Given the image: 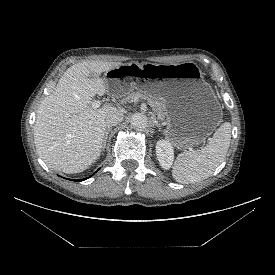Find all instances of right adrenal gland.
I'll return each instance as SVG.
<instances>
[{
    "instance_id": "1",
    "label": "right adrenal gland",
    "mask_w": 275,
    "mask_h": 275,
    "mask_svg": "<svg viewBox=\"0 0 275 275\" xmlns=\"http://www.w3.org/2000/svg\"><path fill=\"white\" fill-rule=\"evenodd\" d=\"M110 131H111V128H107L106 131H105V136H104V141H103V150L105 149L106 142H107V139H108V134H109Z\"/></svg>"
}]
</instances>
